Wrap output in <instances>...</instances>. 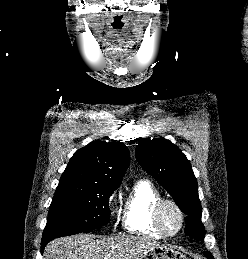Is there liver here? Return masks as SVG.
<instances>
[{"mask_svg":"<svg viewBox=\"0 0 248 259\" xmlns=\"http://www.w3.org/2000/svg\"><path fill=\"white\" fill-rule=\"evenodd\" d=\"M160 246L159 242L141 236L95 239L90 234H78L49 242L44 259H141L147 252Z\"/></svg>","mask_w":248,"mask_h":259,"instance_id":"obj_1","label":"liver"}]
</instances>
